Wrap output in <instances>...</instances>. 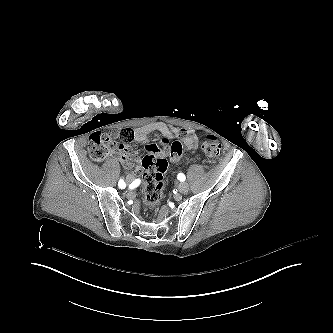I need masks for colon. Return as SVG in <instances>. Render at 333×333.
I'll use <instances>...</instances> for the list:
<instances>
[{"label": "colon", "mask_w": 333, "mask_h": 333, "mask_svg": "<svg viewBox=\"0 0 333 333\" xmlns=\"http://www.w3.org/2000/svg\"><path fill=\"white\" fill-rule=\"evenodd\" d=\"M134 132L131 129H124L120 132V138L124 143H131L134 139ZM117 134L108 130H101L99 133L91 135L89 139L88 151L95 161L105 159L115 150ZM147 151L141 161L143 168V185L140 191L148 209L154 208L162 198L164 187L162 174L167 167L165 155H170L175 159H181L184 150L180 142L175 141L170 145L167 138H161L159 142L147 145ZM203 151L210 158L214 159L220 155V146L215 139L207 141L203 146Z\"/></svg>", "instance_id": "obj_1"}]
</instances>
